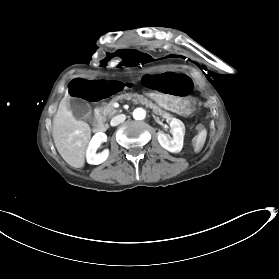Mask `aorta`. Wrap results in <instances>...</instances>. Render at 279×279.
I'll use <instances>...</instances> for the list:
<instances>
[{
  "label": "aorta",
  "instance_id": "1",
  "mask_svg": "<svg viewBox=\"0 0 279 279\" xmlns=\"http://www.w3.org/2000/svg\"><path fill=\"white\" fill-rule=\"evenodd\" d=\"M145 116H146V112H145V110L142 109V108H137V109H135L134 112H133V117H134V119H136V120H142V119L145 118Z\"/></svg>",
  "mask_w": 279,
  "mask_h": 279
}]
</instances>
